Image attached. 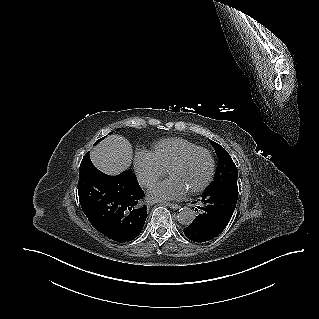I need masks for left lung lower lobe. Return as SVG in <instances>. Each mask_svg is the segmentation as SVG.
Masks as SVG:
<instances>
[{
	"mask_svg": "<svg viewBox=\"0 0 319 319\" xmlns=\"http://www.w3.org/2000/svg\"><path fill=\"white\" fill-rule=\"evenodd\" d=\"M238 198V186L230 185L206 191L194 203L200 211L191 225L184 229L187 238L195 242H206L218 236L227 226Z\"/></svg>",
	"mask_w": 319,
	"mask_h": 319,
	"instance_id": "1",
	"label": "left lung lower lobe"
}]
</instances>
